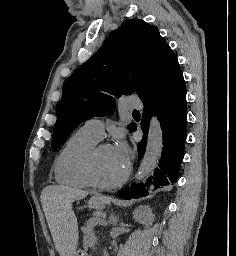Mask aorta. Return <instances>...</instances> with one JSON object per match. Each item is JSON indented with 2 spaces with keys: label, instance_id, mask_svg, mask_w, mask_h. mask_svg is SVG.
<instances>
[{
  "label": "aorta",
  "instance_id": "aorta-1",
  "mask_svg": "<svg viewBox=\"0 0 236 256\" xmlns=\"http://www.w3.org/2000/svg\"><path fill=\"white\" fill-rule=\"evenodd\" d=\"M163 134L160 122L155 116L151 119L145 153L135 175V182L143 181L156 168L162 154Z\"/></svg>",
  "mask_w": 236,
  "mask_h": 256
}]
</instances>
